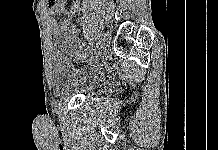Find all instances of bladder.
I'll return each instance as SVG.
<instances>
[{
    "label": "bladder",
    "instance_id": "31cf9c89",
    "mask_svg": "<svg viewBox=\"0 0 218 150\" xmlns=\"http://www.w3.org/2000/svg\"><path fill=\"white\" fill-rule=\"evenodd\" d=\"M55 63L52 68V83L55 94L66 98L77 94H89L105 81L106 69L98 62L76 67L70 60L74 56L73 43L65 36L58 37L53 47Z\"/></svg>",
    "mask_w": 218,
    "mask_h": 150
}]
</instances>
